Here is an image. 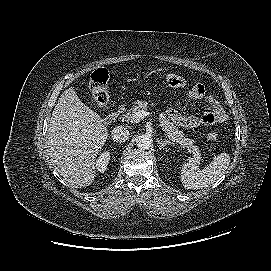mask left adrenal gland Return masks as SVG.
Instances as JSON below:
<instances>
[{"label": "left adrenal gland", "mask_w": 271, "mask_h": 271, "mask_svg": "<svg viewBox=\"0 0 271 271\" xmlns=\"http://www.w3.org/2000/svg\"><path fill=\"white\" fill-rule=\"evenodd\" d=\"M157 143L159 144L160 149H163L166 145L171 144L170 141H162L161 139H157Z\"/></svg>", "instance_id": "left-adrenal-gland-1"}]
</instances>
